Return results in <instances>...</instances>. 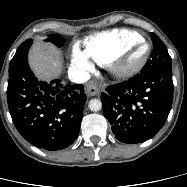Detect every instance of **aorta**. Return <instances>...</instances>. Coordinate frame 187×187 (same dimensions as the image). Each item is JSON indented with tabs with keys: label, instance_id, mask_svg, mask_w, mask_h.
<instances>
[{
	"label": "aorta",
	"instance_id": "762f6f07",
	"mask_svg": "<svg viewBox=\"0 0 187 187\" xmlns=\"http://www.w3.org/2000/svg\"><path fill=\"white\" fill-rule=\"evenodd\" d=\"M88 106H89V109H90L91 111L97 112V111H100V110H101V108H102V103H101V101L98 100V99H91V100L89 101Z\"/></svg>",
	"mask_w": 187,
	"mask_h": 187
}]
</instances>
